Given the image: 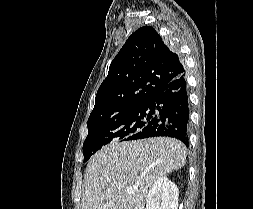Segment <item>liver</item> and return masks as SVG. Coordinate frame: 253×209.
Listing matches in <instances>:
<instances>
[{
  "label": "liver",
  "instance_id": "obj_1",
  "mask_svg": "<svg viewBox=\"0 0 253 209\" xmlns=\"http://www.w3.org/2000/svg\"><path fill=\"white\" fill-rule=\"evenodd\" d=\"M187 149L174 138L114 142L89 161L81 209H144L154 182L186 164ZM132 187L135 192L127 194Z\"/></svg>",
  "mask_w": 253,
  "mask_h": 209
}]
</instances>
